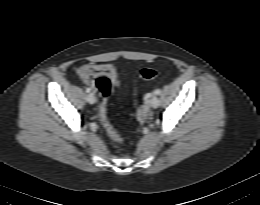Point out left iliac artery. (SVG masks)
<instances>
[{
  "instance_id": "obj_1",
  "label": "left iliac artery",
  "mask_w": 260,
  "mask_h": 205,
  "mask_svg": "<svg viewBox=\"0 0 260 205\" xmlns=\"http://www.w3.org/2000/svg\"><path fill=\"white\" fill-rule=\"evenodd\" d=\"M160 89H156L155 91H154V93L156 94V95H159L160 94Z\"/></svg>"
}]
</instances>
